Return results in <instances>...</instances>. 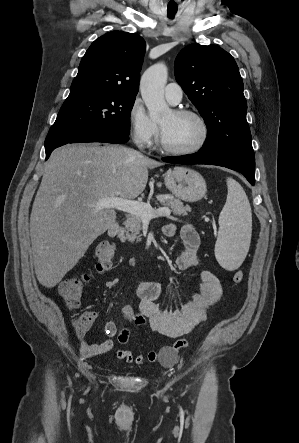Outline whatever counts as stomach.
Returning a JSON list of instances; mask_svg holds the SVG:
<instances>
[{
    "label": "stomach",
    "instance_id": "stomach-1",
    "mask_svg": "<svg viewBox=\"0 0 299 443\" xmlns=\"http://www.w3.org/2000/svg\"><path fill=\"white\" fill-rule=\"evenodd\" d=\"M164 183L172 194L186 202L202 199L207 191L204 178L197 171L185 167H177L169 172Z\"/></svg>",
    "mask_w": 299,
    "mask_h": 443
}]
</instances>
